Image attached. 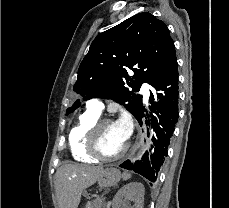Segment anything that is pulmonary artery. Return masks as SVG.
Segmentation results:
<instances>
[{
  "label": "pulmonary artery",
  "mask_w": 229,
  "mask_h": 208,
  "mask_svg": "<svg viewBox=\"0 0 229 208\" xmlns=\"http://www.w3.org/2000/svg\"><path fill=\"white\" fill-rule=\"evenodd\" d=\"M149 89H150L149 85L143 84V86H142V93H143L145 99L148 98ZM87 109H90V110L94 111L97 114H101V112L104 109V104H103V102H102L101 99H99V98H93V99H91V100H89L87 102Z\"/></svg>",
  "instance_id": "e3ab8cb5"
}]
</instances>
